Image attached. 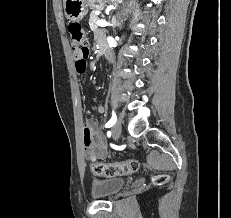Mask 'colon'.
Masks as SVG:
<instances>
[{"label":"colon","mask_w":231,"mask_h":218,"mask_svg":"<svg viewBox=\"0 0 231 218\" xmlns=\"http://www.w3.org/2000/svg\"><path fill=\"white\" fill-rule=\"evenodd\" d=\"M70 45L73 50L81 53L80 58L89 55L88 36L81 24L72 22L68 26ZM139 168L137 159H128L112 163L95 162L91 165V171L96 175L114 177L135 173ZM169 176L166 174L158 175L154 178L156 184H164L168 181Z\"/></svg>","instance_id":"obj_1"}]
</instances>
